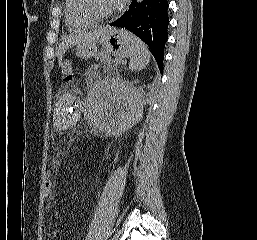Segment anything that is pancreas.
Segmentation results:
<instances>
[{
	"label": "pancreas",
	"mask_w": 257,
	"mask_h": 240,
	"mask_svg": "<svg viewBox=\"0 0 257 240\" xmlns=\"http://www.w3.org/2000/svg\"><path fill=\"white\" fill-rule=\"evenodd\" d=\"M100 65L104 69H115L117 65L115 62L111 59L110 55L108 54H100L99 55Z\"/></svg>",
	"instance_id": "pancreas-1"
}]
</instances>
